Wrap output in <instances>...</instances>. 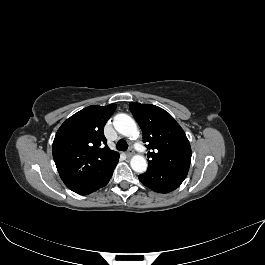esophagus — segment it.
Returning <instances> with one entry per match:
<instances>
[{"label":"esophagus","mask_w":265,"mask_h":265,"mask_svg":"<svg viewBox=\"0 0 265 265\" xmlns=\"http://www.w3.org/2000/svg\"><path fill=\"white\" fill-rule=\"evenodd\" d=\"M133 153H134V150L132 149V148H130L128 151H127V156L128 157H130V156H132L133 155Z\"/></svg>","instance_id":"obj_1"}]
</instances>
